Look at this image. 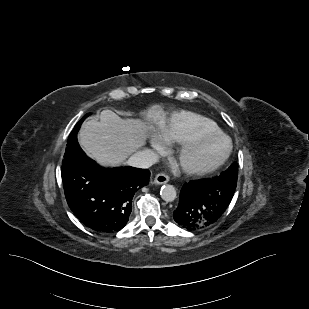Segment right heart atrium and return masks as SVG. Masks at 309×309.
<instances>
[{"instance_id":"right-heart-atrium-1","label":"right heart atrium","mask_w":309,"mask_h":309,"mask_svg":"<svg viewBox=\"0 0 309 309\" xmlns=\"http://www.w3.org/2000/svg\"><path fill=\"white\" fill-rule=\"evenodd\" d=\"M151 148L158 149L160 147V141L157 137H152L150 140Z\"/></svg>"}]
</instances>
